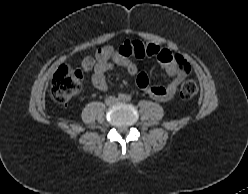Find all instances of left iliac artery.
<instances>
[{"mask_svg":"<svg viewBox=\"0 0 248 194\" xmlns=\"http://www.w3.org/2000/svg\"><path fill=\"white\" fill-rule=\"evenodd\" d=\"M125 100L128 101V102L131 101V96L130 95H126L125 96Z\"/></svg>","mask_w":248,"mask_h":194,"instance_id":"obj_1","label":"left iliac artery"}]
</instances>
